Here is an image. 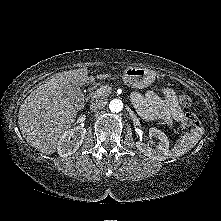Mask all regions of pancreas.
<instances>
[{
	"instance_id": "1",
	"label": "pancreas",
	"mask_w": 221,
	"mask_h": 221,
	"mask_svg": "<svg viewBox=\"0 0 221 221\" xmlns=\"http://www.w3.org/2000/svg\"><path fill=\"white\" fill-rule=\"evenodd\" d=\"M96 88H97V87L94 86V87L92 88V91L89 93V98H90L91 100L98 99V98H105V96H108V95H109V91H108L107 93H105V94L97 95L96 91H97L98 89H96ZM106 88L109 89L110 87H109V86H106ZM95 89H96V90H95ZM93 90H95V91H93Z\"/></svg>"
}]
</instances>
